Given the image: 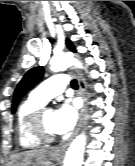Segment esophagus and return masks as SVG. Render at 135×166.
Here are the masks:
<instances>
[{
  "instance_id": "34e87169",
  "label": "esophagus",
  "mask_w": 135,
  "mask_h": 166,
  "mask_svg": "<svg viewBox=\"0 0 135 166\" xmlns=\"http://www.w3.org/2000/svg\"><path fill=\"white\" fill-rule=\"evenodd\" d=\"M75 75H76L77 80H78L79 95L82 99V108H81V111H80L79 123L77 125V128L73 132L72 136L69 138V140L64 142L63 144H61L58 148H56L54 150V152H56V153H59V152L63 151L70 144L71 140L79 132V130H80V128H81V126L84 122V117H85V112H86V102H87L86 83H85V80L82 78V76L78 72L75 71Z\"/></svg>"
}]
</instances>
